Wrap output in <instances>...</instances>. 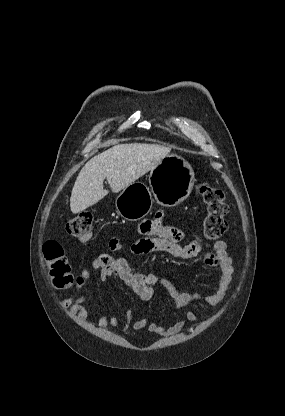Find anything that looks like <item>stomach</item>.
Listing matches in <instances>:
<instances>
[{
    "label": "stomach",
    "instance_id": "1",
    "mask_svg": "<svg viewBox=\"0 0 285 416\" xmlns=\"http://www.w3.org/2000/svg\"><path fill=\"white\" fill-rule=\"evenodd\" d=\"M148 180L150 188L142 182H132L116 198L117 214L124 220L136 222L145 218L152 210L151 194L160 206L166 208L179 206L190 196L195 174L184 158L176 154H168L151 170Z\"/></svg>",
    "mask_w": 285,
    "mask_h": 416
}]
</instances>
